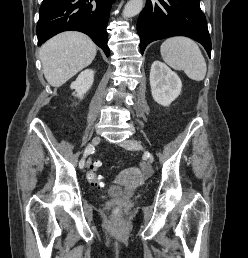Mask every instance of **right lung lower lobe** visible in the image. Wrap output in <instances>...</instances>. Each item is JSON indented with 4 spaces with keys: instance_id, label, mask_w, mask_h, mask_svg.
Returning a JSON list of instances; mask_svg holds the SVG:
<instances>
[{
    "instance_id": "98d812e1",
    "label": "right lung lower lobe",
    "mask_w": 248,
    "mask_h": 258,
    "mask_svg": "<svg viewBox=\"0 0 248 258\" xmlns=\"http://www.w3.org/2000/svg\"><path fill=\"white\" fill-rule=\"evenodd\" d=\"M114 1L43 0L36 27L38 45L60 32L75 30L87 34L108 57L106 27Z\"/></svg>"
}]
</instances>
